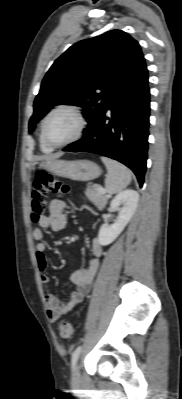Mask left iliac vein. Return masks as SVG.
Instances as JSON below:
<instances>
[{"label": "left iliac vein", "instance_id": "left-iliac-vein-1", "mask_svg": "<svg viewBox=\"0 0 182 399\" xmlns=\"http://www.w3.org/2000/svg\"><path fill=\"white\" fill-rule=\"evenodd\" d=\"M73 377H74L75 381H79L81 379L79 364L75 365V367H74Z\"/></svg>", "mask_w": 182, "mask_h": 399}]
</instances>
